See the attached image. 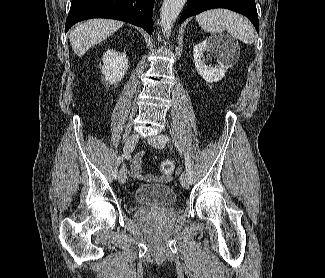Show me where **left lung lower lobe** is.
I'll use <instances>...</instances> for the list:
<instances>
[{
	"instance_id": "1",
	"label": "left lung lower lobe",
	"mask_w": 325,
	"mask_h": 278,
	"mask_svg": "<svg viewBox=\"0 0 325 278\" xmlns=\"http://www.w3.org/2000/svg\"><path fill=\"white\" fill-rule=\"evenodd\" d=\"M213 8H226L245 15L259 32L255 0H187V6L180 17V24L190 16Z\"/></svg>"
}]
</instances>
